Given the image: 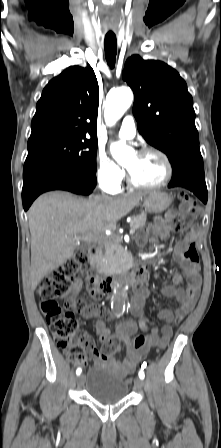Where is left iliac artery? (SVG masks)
Listing matches in <instances>:
<instances>
[{"label":"left iliac artery","mask_w":221,"mask_h":448,"mask_svg":"<svg viewBox=\"0 0 221 448\" xmlns=\"http://www.w3.org/2000/svg\"><path fill=\"white\" fill-rule=\"evenodd\" d=\"M144 368H146V363L144 362L143 364H142V366H141V370L139 371V378H141V379H144V377H145V374H144V372H143V369Z\"/></svg>","instance_id":"left-iliac-artery-1"}]
</instances>
